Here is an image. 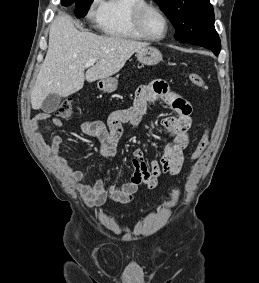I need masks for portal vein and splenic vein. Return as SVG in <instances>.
Listing matches in <instances>:
<instances>
[{
	"instance_id": "1",
	"label": "portal vein and splenic vein",
	"mask_w": 259,
	"mask_h": 283,
	"mask_svg": "<svg viewBox=\"0 0 259 283\" xmlns=\"http://www.w3.org/2000/svg\"><path fill=\"white\" fill-rule=\"evenodd\" d=\"M96 61H97V59H91V60L87 61L84 66L85 67L93 66Z\"/></svg>"
}]
</instances>
